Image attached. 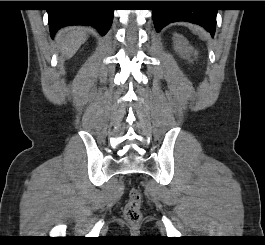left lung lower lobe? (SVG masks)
I'll return each instance as SVG.
<instances>
[{
	"label": "left lung lower lobe",
	"instance_id": "left-lung-lower-lobe-1",
	"mask_svg": "<svg viewBox=\"0 0 265 245\" xmlns=\"http://www.w3.org/2000/svg\"><path fill=\"white\" fill-rule=\"evenodd\" d=\"M199 1H169L166 7L153 10V21L157 32L169 23L186 21L204 27L212 36L215 32V9L194 8Z\"/></svg>",
	"mask_w": 265,
	"mask_h": 245
}]
</instances>
